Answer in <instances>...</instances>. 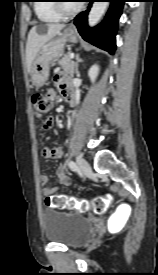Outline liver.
Here are the masks:
<instances>
[{"instance_id":"1","label":"liver","mask_w":158,"mask_h":275,"mask_svg":"<svg viewBox=\"0 0 158 275\" xmlns=\"http://www.w3.org/2000/svg\"><path fill=\"white\" fill-rule=\"evenodd\" d=\"M64 27V24H46L32 27L26 43V63L29 73L41 47L58 35Z\"/></svg>"}]
</instances>
